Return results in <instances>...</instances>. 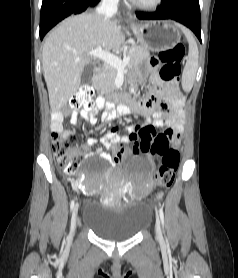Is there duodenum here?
Segmentation results:
<instances>
[{
	"mask_svg": "<svg viewBox=\"0 0 238 278\" xmlns=\"http://www.w3.org/2000/svg\"><path fill=\"white\" fill-rule=\"evenodd\" d=\"M100 74V68L99 67H95L93 69V75L94 77H97Z\"/></svg>",
	"mask_w": 238,
	"mask_h": 278,
	"instance_id": "obj_1",
	"label": "duodenum"
}]
</instances>
